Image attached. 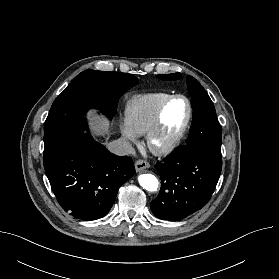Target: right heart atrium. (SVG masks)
<instances>
[{"mask_svg":"<svg viewBox=\"0 0 279 279\" xmlns=\"http://www.w3.org/2000/svg\"><path fill=\"white\" fill-rule=\"evenodd\" d=\"M121 133L123 137L129 142H136L138 135L134 131H132L126 124L122 126Z\"/></svg>","mask_w":279,"mask_h":279,"instance_id":"obj_1","label":"right heart atrium"}]
</instances>
